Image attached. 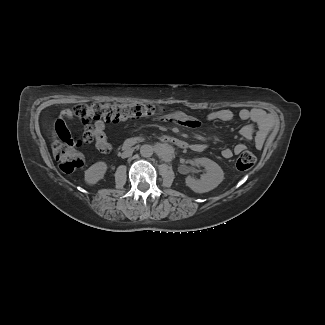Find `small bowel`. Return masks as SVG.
I'll use <instances>...</instances> for the list:
<instances>
[{
    "label": "small bowel",
    "mask_w": 325,
    "mask_h": 325,
    "mask_svg": "<svg viewBox=\"0 0 325 325\" xmlns=\"http://www.w3.org/2000/svg\"><path fill=\"white\" fill-rule=\"evenodd\" d=\"M61 116L64 119L70 118V109H64L61 112ZM241 120L250 121L257 128V132L260 138L266 132L271 118L261 109H241L238 113ZM63 118L56 120V130L60 136V142L67 146L85 147L86 144L94 143L96 149L102 154H110L112 151V145L106 136V124L103 120H96L93 124H85V132L83 137L70 136L67 131V125ZM169 119H174L188 128H198L201 125V121L196 117H185L181 113L168 115ZM235 118V114L229 109H220L212 111L207 115L208 121L211 122H230ZM254 133L252 125L245 126L242 129V136L250 138ZM191 149L196 152H202L206 149V145L203 143H194L191 145ZM246 149V146L242 143L235 145L233 149L225 148L222 150V157L230 159L234 154H239Z\"/></svg>",
    "instance_id": "c3829d8e"
}]
</instances>
